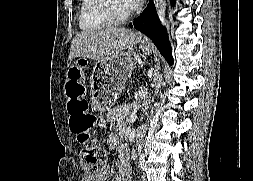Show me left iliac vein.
Returning a JSON list of instances; mask_svg holds the SVG:
<instances>
[{"mask_svg":"<svg viewBox=\"0 0 253 181\" xmlns=\"http://www.w3.org/2000/svg\"><path fill=\"white\" fill-rule=\"evenodd\" d=\"M140 181H147L145 174H143V175L141 176Z\"/></svg>","mask_w":253,"mask_h":181,"instance_id":"obj_1","label":"left iliac vein"}]
</instances>
